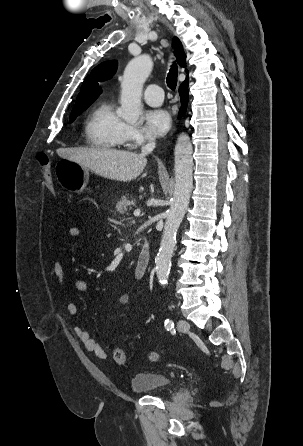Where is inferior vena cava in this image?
I'll return each mask as SVG.
<instances>
[{"instance_id": "obj_1", "label": "inferior vena cava", "mask_w": 303, "mask_h": 446, "mask_svg": "<svg viewBox=\"0 0 303 446\" xmlns=\"http://www.w3.org/2000/svg\"><path fill=\"white\" fill-rule=\"evenodd\" d=\"M154 148H155V140L153 138H150L149 142L142 147V154L146 155L152 152Z\"/></svg>"}]
</instances>
